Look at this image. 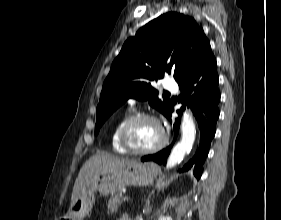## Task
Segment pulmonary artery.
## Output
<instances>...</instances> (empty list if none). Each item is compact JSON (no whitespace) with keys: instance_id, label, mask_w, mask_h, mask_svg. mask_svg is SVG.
Returning <instances> with one entry per match:
<instances>
[{"instance_id":"obj_1","label":"pulmonary artery","mask_w":281,"mask_h":220,"mask_svg":"<svg viewBox=\"0 0 281 220\" xmlns=\"http://www.w3.org/2000/svg\"><path fill=\"white\" fill-rule=\"evenodd\" d=\"M164 88L168 91H171V92H177L178 91V85L177 83L174 81V80H167L165 83H164ZM129 103L131 105H134L135 101L134 100H130Z\"/></svg>"}]
</instances>
